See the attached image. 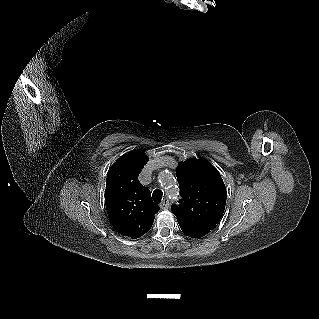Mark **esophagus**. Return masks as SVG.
<instances>
[{"label":"esophagus","mask_w":319,"mask_h":319,"mask_svg":"<svg viewBox=\"0 0 319 319\" xmlns=\"http://www.w3.org/2000/svg\"><path fill=\"white\" fill-rule=\"evenodd\" d=\"M160 208L162 210H166L169 208V200L167 198H164L160 204Z\"/></svg>","instance_id":"1"}]
</instances>
